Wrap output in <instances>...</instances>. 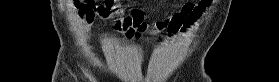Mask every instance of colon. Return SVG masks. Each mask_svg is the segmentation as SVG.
<instances>
[{
  "label": "colon",
  "instance_id": "colon-1",
  "mask_svg": "<svg viewBox=\"0 0 279 82\" xmlns=\"http://www.w3.org/2000/svg\"><path fill=\"white\" fill-rule=\"evenodd\" d=\"M124 22L125 24L130 25L133 29H138L143 22L141 11L138 9L131 10Z\"/></svg>",
  "mask_w": 279,
  "mask_h": 82
}]
</instances>
